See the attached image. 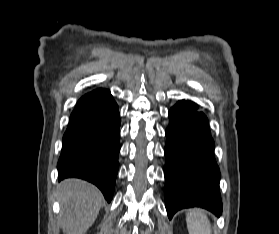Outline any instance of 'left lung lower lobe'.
<instances>
[{
    "label": "left lung lower lobe",
    "instance_id": "left-lung-lower-lobe-1",
    "mask_svg": "<svg viewBox=\"0 0 279 234\" xmlns=\"http://www.w3.org/2000/svg\"><path fill=\"white\" fill-rule=\"evenodd\" d=\"M191 101H179L169 111L164 148L165 204L168 217L182 208L202 207L222 213L220 171L206 116Z\"/></svg>",
    "mask_w": 279,
    "mask_h": 234
}]
</instances>
